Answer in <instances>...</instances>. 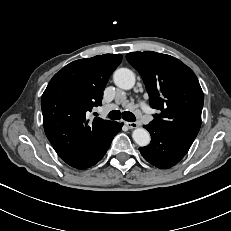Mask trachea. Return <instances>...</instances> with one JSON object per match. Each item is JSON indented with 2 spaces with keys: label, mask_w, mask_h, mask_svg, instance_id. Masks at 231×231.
Returning a JSON list of instances; mask_svg holds the SVG:
<instances>
[{
  "label": "trachea",
  "mask_w": 231,
  "mask_h": 231,
  "mask_svg": "<svg viewBox=\"0 0 231 231\" xmlns=\"http://www.w3.org/2000/svg\"><path fill=\"white\" fill-rule=\"evenodd\" d=\"M108 117L112 120H119L122 117L124 120L128 122L136 121L135 115L129 111H124L121 113L119 110H113L108 114Z\"/></svg>",
  "instance_id": "trachea-1"
}]
</instances>
